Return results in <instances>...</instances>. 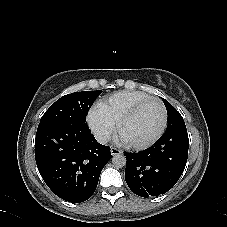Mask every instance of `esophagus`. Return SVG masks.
Instances as JSON below:
<instances>
[{
    "mask_svg": "<svg viewBox=\"0 0 227 227\" xmlns=\"http://www.w3.org/2000/svg\"><path fill=\"white\" fill-rule=\"evenodd\" d=\"M122 153V151L121 150H119V149H117V148H111V154H112V156H116V155H119V154H121Z\"/></svg>",
    "mask_w": 227,
    "mask_h": 227,
    "instance_id": "34e87169",
    "label": "esophagus"
}]
</instances>
